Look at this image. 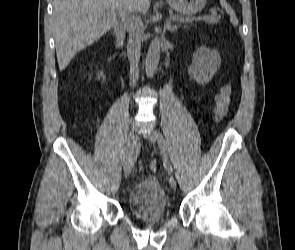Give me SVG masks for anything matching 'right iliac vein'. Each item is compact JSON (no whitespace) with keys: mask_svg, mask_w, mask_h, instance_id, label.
Wrapping results in <instances>:
<instances>
[{"mask_svg":"<svg viewBox=\"0 0 295 250\" xmlns=\"http://www.w3.org/2000/svg\"><path fill=\"white\" fill-rule=\"evenodd\" d=\"M136 134L132 131L128 135V140H127V147H126V155H125V160L124 162L131 156L133 155L134 151L133 148L135 147V142H136ZM131 167H129L128 163H124V174L126 176H129L131 174Z\"/></svg>","mask_w":295,"mask_h":250,"instance_id":"right-iliac-vein-1","label":"right iliac vein"}]
</instances>
